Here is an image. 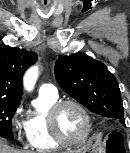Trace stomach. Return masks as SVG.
<instances>
[{"label":"stomach","instance_id":"0dacf381","mask_svg":"<svg viewBox=\"0 0 130 153\" xmlns=\"http://www.w3.org/2000/svg\"><path fill=\"white\" fill-rule=\"evenodd\" d=\"M101 144V136L99 134H94L86 146L81 147L72 153H99L98 151H100Z\"/></svg>","mask_w":130,"mask_h":153}]
</instances>
